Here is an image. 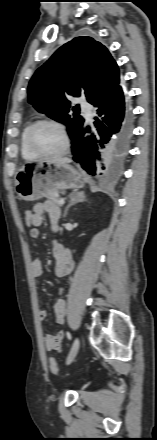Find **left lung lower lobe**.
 <instances>
[{
	"label": "left lung lower lobe",
	"instance_id": "0a47b994",
	"mask_svg": "<svg viewBox=\"0 0 157 440\" xmlns=\"http://www.w3.org/2000/svg\"><path fill=\"white\" fill-rule=\"evenodd\" d=\"M92 127L83 124L71 136L73 160L90 175L116 170L125 157L132 134V112L119 85L94 104Z\"/></svg>",
	"mask_w": 157,
	"mask_h": 440
}]
</instances>
